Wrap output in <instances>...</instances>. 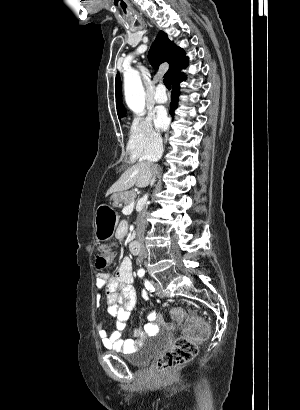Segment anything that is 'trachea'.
Masks as SVG:
<instances>
[{
	"mask_svg": "<svg viewBox=\"0 0 300 410\" xmlns=\"http://www.w3.org/2000/svg\"><path fill=\"white\" fill-rule=\"evenodd\" d=\"M163 83H164V85L166 86V88H167L168 90L171 89V81H170V79H169L168 77L164 78Z\"/></svg>",
	"mask_w": 300,
	"mask_h": 410,
	"instance_id": "1",
	"label": "trachea"
}]
</instances>
